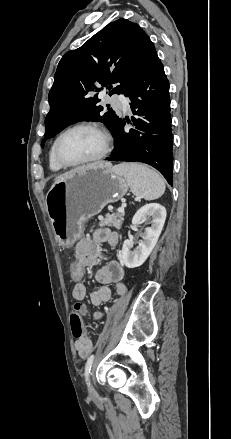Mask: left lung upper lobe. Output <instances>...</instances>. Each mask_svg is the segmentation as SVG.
Masks as SVG:
<instances>
[{
    "label": "left lung upper lobe",
    "instance_id": "left-lung-upper-lobe-1",
    "mask_svg": "<svg viewBox=\"0 0 231 439\" xmlns=\"http://www.w3.org/2000/svg\"><path fill=\"white\" fill-rule=\"evenodd\" d=\"M141 27L125 19L109 23L80 48L60 60L49 92L45 141L79 121L103 122L114 133L119 117L112 109L104 115L98 93L124 94L153 47ZM112 84H118L112 88ZM100 85L102 87H100Z\"/></svg>",
    "mask_w": 231,
    "mask_h": 439
}]
</instances>
